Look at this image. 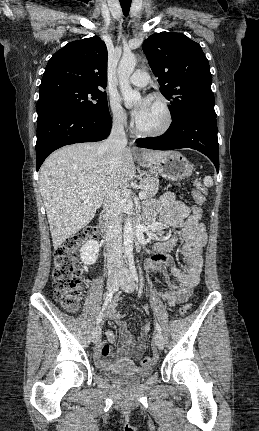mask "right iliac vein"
<instances>
[{
    "mask_svg": "<svg viewBox=\"0 0 259 431\" xmlns=\"http://www.w3.org/2000/svg\"><path fill=\"white\" fill-rule=\"evenodd\" d=\"M119 273L113 271L110 273L107 281V288L109 291H115L117 289ZM101 336V327L97 326L92 333V342L97 343Z\"/></svg>",
    "mask_w": 259,
    "mask_h": 431,
    "instance_id": "1",
    "label": "right iliac vein"
}]
</instances>
